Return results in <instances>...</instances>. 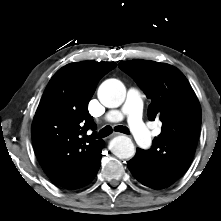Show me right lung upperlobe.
<instances>
[{
    "instance_id": "obj_1",
    "label": "right lung upper lobe",
    "mask_w": 221,
    "mask_h": 221,
    "mask_svg": "<svg viewBox=\"0 0 221 221\" xmlns=\"http://www.w3.org/2000/svg\"><path fill=\"white\" fill-rule=\"evenodd\" d=\"M114 62L71 63L49 81L32 124L35 154L47 176L66 189L78 188L96 164L103 140L87 106L99 80L116 67Z\"/></svg>"
}]
</instances>
